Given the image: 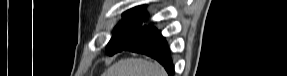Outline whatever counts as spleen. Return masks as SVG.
<instances>
[{"label": "spleen", "mask_w": 287, "mask_h": 76, "mask_svg": "<svg viewBox=\"0 0 287 76\" xmlns=\"http://www.w3.org/2000/svg\"><path fill=\"white\" fill-rule=\"evenodd\" d=\"M106 76H166L161 65L141 58H127L113 64Z\"/></svg>", "instance_id": "spleen-1"}]
</instances>
